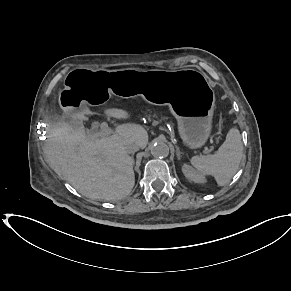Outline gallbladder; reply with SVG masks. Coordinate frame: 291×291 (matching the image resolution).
<instances>
[{
    "mask_svg": "<svg viewBox=\"0 0 291 291\" xmlns=\"http://www.w3.org/2000/svg\"><path fill=\"white\" fill-rule=\"evenodd\" d=\"M66 121H67L69 124H71V125H73V126H76V123L74 122V120H73L72 118L67 117V118H66Z\"/></svg>",
    "mask_w": 291,
    "mask_h": 291,
    "instance_id": "obj_1",
    "label": "gallbladder"
}]
</instances>
